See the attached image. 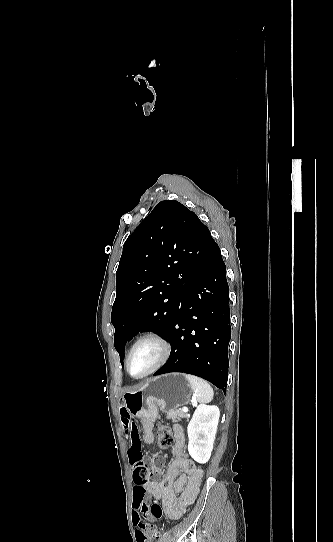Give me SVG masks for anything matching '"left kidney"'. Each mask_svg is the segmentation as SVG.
<instances>
[{
    "mask_svg": "<svg viewBox=\"0 0 333 542\" xmlns=\"http://www.w3.org/2000/svg\"><path fill=\"white\" fill-rule=\"evenodd\" d=\"M219 416L220 412L217 406L200 404L188 424V452L191 458L199 464H206L210 460Z\"/></svg>",
    "mask_w": 333,
    "mask_h": 542,
    "instance_id": "left-kidney-1",
    "label": "left kidney"
}]
</instances>
